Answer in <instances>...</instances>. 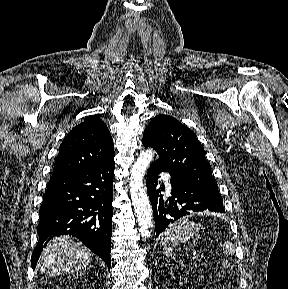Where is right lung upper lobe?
Masks as SVG:
<instances>
[{
  "mask_svg": "<svg viewBox=\"0 0 288 289\" xmlns=\"http://www.w3.org/2000/svg\"><path fill=\"white\" fill-rule=\"evenodd\" d=\"M112 137L105 123L90 117L74 127L60 145L53 175L92 169L114 157Z\"/></svg>",
  "mask_w": 288,
  "mask_h": 289,
  "instance_id": "obj_1",
  "label": "right lung upper lobe"
}]
</instances>
